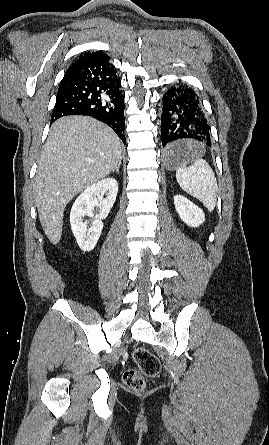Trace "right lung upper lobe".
Wrapping results in <instances>:
<instances>
[{
    "instance_id": "cb5924a9",
    "label": "right lung upper lobe",
    "mask_w": 269,
    "mask_h": 445,
    "mask_svg": "<svg viewBox=\"0 0 269 445\" xmlns=\"http://www.w3.org/2000/svg\"><path fill=\"white\" fill-rule=\"evenodd\" d=\"M102 54H104V52H102V51H97V52H87V53H85L83 56H81L78 60H76L75 63H73V64L68 68V70L71 69L72 67L76 66V65L82 64V63H84V62H86V61H89V60L93 59L94 57H97V56L102 55ZM68 70H67V71H68Z\"/></svg>"
}]
</instances>
